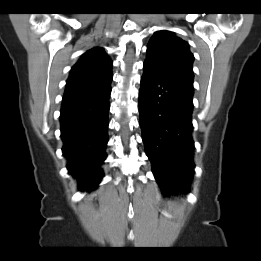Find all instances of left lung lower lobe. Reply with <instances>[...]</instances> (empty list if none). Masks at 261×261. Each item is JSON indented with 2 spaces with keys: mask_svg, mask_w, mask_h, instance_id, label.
<instances>
[{
  "mask_svg": "<svg viewBox=\"0 0 261 261\" xmlns=\"http://www.w3.org/2000/svg\"><path fill=\"white\" fill-rule=\"evenodd\" d=\"M139 113L146 154L162 193L189 191L195 164L193 82L143 64Z\"/></svg>",
  "mask_w": 261,
  "mask_h": 261,
  "instance_id": "1",
  "label": "left lung lower lobe"
}]
</instances>
